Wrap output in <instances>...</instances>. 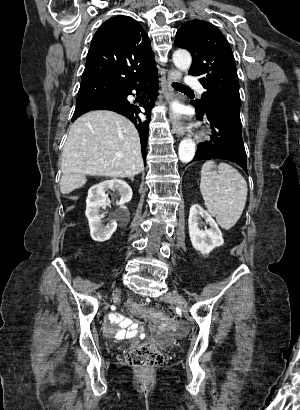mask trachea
Instances as JSON below:
<instances>
[{"instance_id": "1", "label": "trachea", "mask_w": 300, "mask_h": 410, "mask_svg": "<svg viewBox=\"0 0 300 410\" xmlns=\"http://www.w3.org/2000/svg\"><path fill=\"white\" fill-rule=\"evenodd\" d=\"M172 86L179 91H192L190 88L186 87L185 85H182L180 83L177 82H173Z\"/></svg>"}]
</instances>
